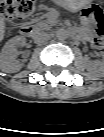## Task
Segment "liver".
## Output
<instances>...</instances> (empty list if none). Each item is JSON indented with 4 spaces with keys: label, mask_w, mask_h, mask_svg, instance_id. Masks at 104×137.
I'll list each match as a JSON object with an SVG mask.
<instances>
[{
    "label": "liver",
    "mask_w": 104,
    "mask_h": 137,
    "mask_svg": "<svg viewBox=\"0 0 104 137\" xmlns=\"http://www.w3.org/2000/svg\"><path fill=\"white\" fill-rule=\"evenodd\" d=\"M0 27H1V34H3L4 33V21H3V19H1Z\"/></svg>",
    "instance_id": "1"
}]
</instances>
